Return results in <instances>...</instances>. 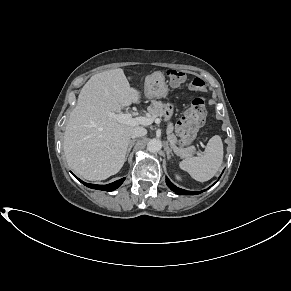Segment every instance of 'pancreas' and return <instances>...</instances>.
Listing matches in <instances>:
<instances>
[{
    "label": "pancreas",
    "instance_id": "cf45deb5",
    "mask_svg": "<svg viewBox=\"0 0 291 291\" xmlns=\"http://www.w3.org/2000/svg\"><path fill=\"white\" fill-rule=\"evenodd\" d=\"M166 104L161 101L153 100L148 107V112L152 117H162L165 116V121L168 120V117L165 115ZM173 124L171 122L167 125V139L170 142L171 147L174 149L175 153L181 157H186L192 155L195 151L193 147H178L177 138L173 133Z\"/></svg>",
    "mask_w": 291,
    "mask_h": 291
}]
</instances>
